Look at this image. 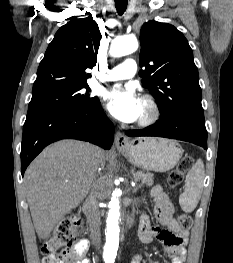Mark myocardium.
<instances>
[{"mask_svg": "<svg viewBox=\"0 0 233 263\" xmlns=\"http://www.w3.org/2000/svg\"><path fill=\"white\" fill-rule=\"evenodd\" d=\"M142 102L145 105V113L139 117L137 122L138 127H148L154 124L161 115V109L158 102L151 95H143Z\"/></svg>", "mask_w": 233, "mask_h": 263, "instance_id": "f54148a6", "label": "myocardium"}]
</instances>
